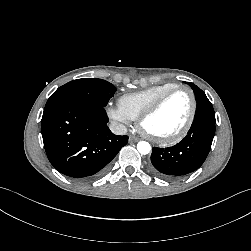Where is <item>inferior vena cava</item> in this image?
Returning <instances> with one entry per match:
<instances>
[{
	"label": "inferior vena cava",
	"instance_id": "1",
	"mask_svg": "<svg viewBox=\"0 0 251 251\" xmlns=\"http://www.w3.org/2000/svg\"><path fill=\"white\" fill-rule=\"evenodd\" d=\"M110 130L116 135H125L127 133V127L119 123H111Z\"/></svg>",
	"mask_w": 251,
	"mask_h": 251
}]
</instances>
